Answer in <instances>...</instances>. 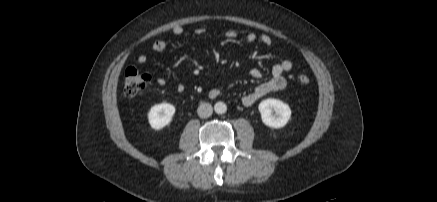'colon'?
I'll list each match as a JSON object with an SVG mask.
<instances>
[{"mask_svg": "<svg viewBox=\"0 0 437 202\" xmlns=\"http://www.w3.org/2000/svg\"><path fill=\"white\" fill-rule=\"evenodd\" d=\"M297 81L301 85H307L310 81L306 74H299ZM151 82L148 73L141 72L136 67H128L124 76V93L128 97H134L143 92Z\"/></svg>", "mask_w": 437, "mask_h": 202, "instance_id": "colon-1", "label": "colon"}]
</instances>
